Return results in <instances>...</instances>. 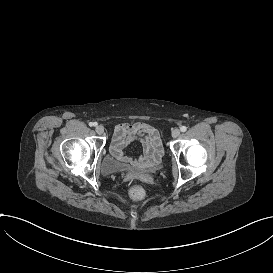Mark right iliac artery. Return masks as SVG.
Listing matches in <instances>:
<instances>
[{
  "mask_svg": "<svg viewBox=\"0 0 273 273\" xmlns=\"http://www.w3.org/2000/svg\"><path fill=\"white\" fill-rule=\"evenodd\" d=\"M96 125H97V123H96V122H90V123H89V126H90V127H92V126H96Z\"/></svg>",
  "mask_w": 273,
  "mask_h": 273,
  "instance_id": "right-iliac-artery-1",
  "label": "right iliac artery"
}]
</instances>
